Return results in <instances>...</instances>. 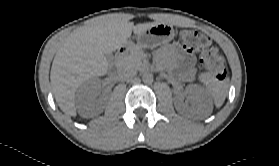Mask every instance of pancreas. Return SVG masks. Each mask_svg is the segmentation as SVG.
<instances>
[{"label": "pancreas", "mask_w": 279, "mask_h": 166, "mask_svg": "<svg viewBox=\"0 0 279 166\" xmlns=\"http://www.w3.org/2000/svg\"><path fill=\"white\" fill-rule=\"evenodd\" d=\"M143 50L140 46H134L132 50L119 60L121 69H140L142 67Z\"/></svg>", "instance_id": "1"}]
</instances>
